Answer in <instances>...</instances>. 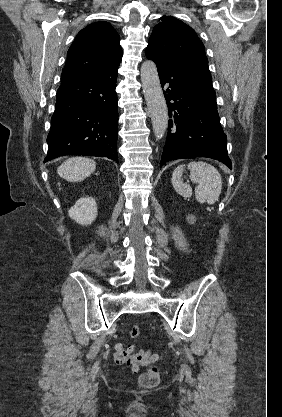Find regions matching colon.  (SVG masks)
<instances>
[{
    "label": "colon",
    "mask_w": 282,
    "mask_h": 417,
    "mask_svg": "<svg viewBox=\"0 0 282 417\" xmlns=\"http://www.w3.org/2000/svg\"><path fill=\"white\" fill-rule=\"evenodd\" d=\"M141 335L140 327L132 325L129 329V336L133 339L139 338ZM114 362L117 365H126L132 368L133 371H139L140 367L148 365L152 362H157L156 353L150 349L142 348L139 353L138 350H133L128 343H118L113 353ZM147 371L142 373L139 377V385L143 388L153 387L160 379L159 371L155 369L145 368Z\"/></svg>",
    "instance_id": "5ec220e1"
}]
</instances>
